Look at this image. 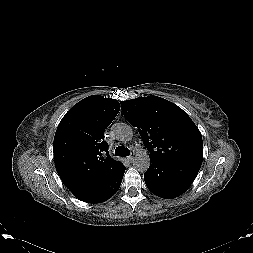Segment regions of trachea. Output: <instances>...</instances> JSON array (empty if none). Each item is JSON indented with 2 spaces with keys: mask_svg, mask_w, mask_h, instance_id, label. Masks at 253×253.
<instances>
[{
  "mask_svg": "<svg viewBox=\"0 0 253 253\" xmlns=\"http://www.w3.org/2000/svg\"><path fill=\"white\" fill-rule=\"evenodd\" d=\"M130 155V150L124 146H119L115 149V156L126 157Z\"/></svg>",
  "mask_w": 253,
  "mask_h": 253,
  "instance_id": "1",
  "label": "trachea"
}]
</instances>
